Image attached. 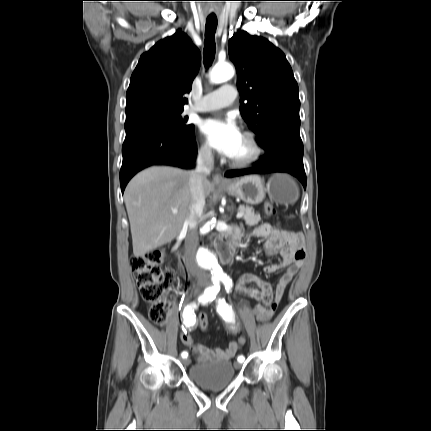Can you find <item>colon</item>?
Wrapping results in <instances>:
<instances>
[{
    "instance_id": "obj_1",
    "label": "colon",
    "mask_w": 431,
    "mask_h": 431,
    "mask_svg": "<svg viewBox=\"0 0 431 431\" xmlns=\"http://www.w3.org/2000/svg\"><path fill=\"white\" fill-rule=\"evenodd\" d=\"M267 215L275 214V208L271 202L264 206ZM131 268L136 280V284L142 298L149 304V318L153 323L163 326L167 319V304L163 299L164 292L173 284L175 280L174 271L163 265V254L160 251H150L131 259ZM259 316L258 310H253V318ZM200 325L205 329L208 325V311L200 309L198 311ZM246 334L239 333L237 342L244 347L247 344ZM180 342L186 349H193L195 340L191 339L190 333L183 329L180 332Z\"/></svg>"
}]
</instances>
